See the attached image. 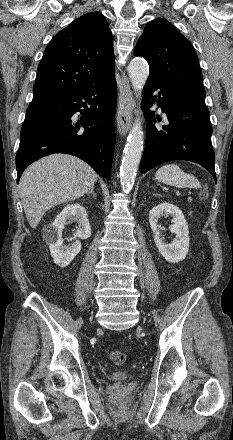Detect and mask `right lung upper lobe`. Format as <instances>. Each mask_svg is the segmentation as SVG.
I'll return each mask as SVG.
<instances>
[{
  "label": "right lung upper lobe",
  "instance_id": "1",
  "mask_svg": "<svg viewBox=\"0 0 233 440\" xmlns=\"http://www.w3.org/2000/svg\"><path fill=\"white\" fill-rule=\"evenodd\" d=\"M114 75L113 37L105 17L87 13L57 33L38 66L33 96L78 90Z\"/></svg>",
  "mask_w": 233,
  "mask_h": 440
}]
</instances>
